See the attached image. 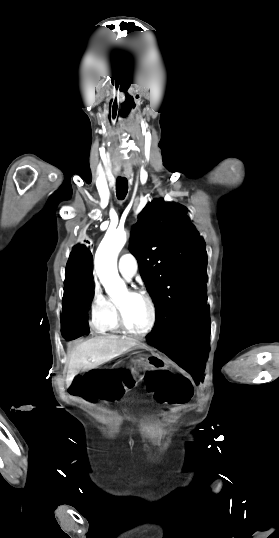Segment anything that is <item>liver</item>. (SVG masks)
<instances>
[{
  "label": "liver",
  "mask_w": 279,
  "mask_h": 538,
  "mask_svg": "<svg viewBox=\"0 0 279 538\" xmlns=\"http://www.w3.org/2000/svg\"><path fill=\"white\" fill-rule=\"evenodd\" d=\"M134 346H139L135 340L120 338V336H109V334L96 336V338H91L87 342H82L71 354L67 370L68 384H71L79 370H93V368L109 362L116 356L126 354Z\"/></svg>",
  "instance_id": "6515ba94"
}]
</instances>
